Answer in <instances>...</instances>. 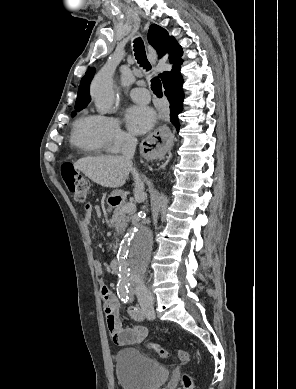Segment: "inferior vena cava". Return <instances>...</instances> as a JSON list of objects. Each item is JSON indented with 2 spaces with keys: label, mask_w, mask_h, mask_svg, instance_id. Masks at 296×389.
<instances>
[{
  "label": "inferior vena cava",
  "mask_w": 296,
  "mask_h": 389,
  "mask_svg": "<svg viewBox=\"0 0 296 389\" xmlns=\"http://www.w3.org/2000/svg\"><path fill=\"white\" fill-rule=\"evenodd\" d=\"M136 145H137V138L132 134H127L125 138V142L122 147V154L127 160L131 161L135 153ZM135 294L140 303L146 300H152L153 298L152 294L147 289L143 281L137 282L135 286Z\"/></svg>",
  "instance_id": "inferior-vena-cava-1"
}]
</instances>
